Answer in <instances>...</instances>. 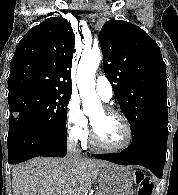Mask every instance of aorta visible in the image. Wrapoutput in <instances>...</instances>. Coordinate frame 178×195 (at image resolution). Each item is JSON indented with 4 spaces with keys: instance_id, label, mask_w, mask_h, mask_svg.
Listing matches in <instances>:
<instances>
[{
    "instance_id": "aorta-1",
    "label": "aorta",
    "mask_w": 178,
    "mask_h": 195,
    "mask_svg": "<svg viewBox=\"0 0 178 195\" xmlns=\"http://www.w3.org/2000/svg\"><path fill=\"white\" fill-rule=\"evenodd\" d=\"M101 61V52L91 50L82 54L77 70V86L83 100V111L90 114L93 107H99L101 101L95 90V73Z\"/></svg>"
}]
</instances>
